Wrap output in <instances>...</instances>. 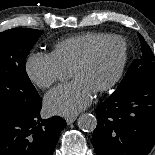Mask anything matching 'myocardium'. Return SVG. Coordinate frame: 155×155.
Returning <instances> with one entry per match:
<instances>
[{
    "label": "myocardium",
    "mask_w": 155,
    "mask_h": 155,
    "mask_svg": "<svg viewBox=\"0 0 155 155\" xmlns=\"http://www.w3.org/2000/svg\"><path fill=\"white\" fill-rule=\"evenodd\" d=\"M112 40H117V41L121 42V44L123 46L122 61L120 63V66H119L115 76L108 83H106L105 85L98 88L95 93H102V92L112 89L122 79L125 69H126V66H127L128 58H129V47H128V43H127L126 39L121 35L107 34L106 36L102 37L101 39H99L95 43H93L90 46V48L85 52V54L78 61H76L70 68V71H72L74 69L81 68V67L85 66L86 64H88L91 61L94 54L96 53V51L102 44H104L108 41H112Z\"/></svg>",
    "instance_id": "1"
}]
</instances>
